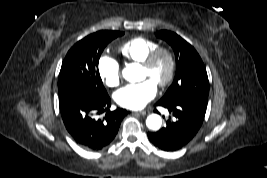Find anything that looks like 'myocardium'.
I'll return each instance as SVG.
<instances>
[{
	"instance_id": "obj_1",
	"label": "myocardium",
	"mask_w": 267,
	"mask_h": 178,
	"mask_svg": "<svg viewBox=\"0 0 267 178\" xmlns=\"http://www.w3.org/2000/svg\"><path fill=\"white\" fill-rule=\"evenodd\" d=\"M161 55H164L168 60V71L164 79L160 80L157 85L159 87H165L173 80L176 70L175 54L169 47L157 46L147 54L140 64L143 68L150 69Z\"/></svg>"
}]
</instances>
